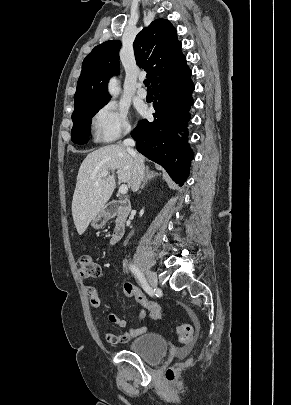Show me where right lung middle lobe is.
<instances>
[{"instance_id":"1","label":"right lung middle lobe","mask_w":291,"mask_h":405,"mask_svg":"<svg viewBox=\"0 0 291 405\" xmlns=\"http://www.w3.org/2000/svg\"><path fill=\"white\" fill-rule=\"evenodd\" d=\"M104 104L94 105L72 114L73 127L71 139L76 144H85L88 142V136L91 132V118L101 109Z\"/></svg>"}]
</instances>
